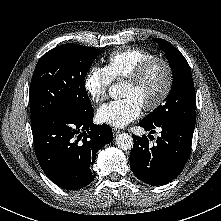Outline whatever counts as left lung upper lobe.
Masks as SVG:
<instances>
[{
    "label": "left lung upper lobe",
    "instance_id": "5c2ea615",
    "mask_svg": "<svg viewBox=\"0 0 221 221\" xmlns=\"http://www.w3.org/2000/svg\"><path fill=\"white\" fill-rule=\"evenodd\" d=\"M165 51L173 73V84L165 103L154 110L144 121L149 124H161L174 119L195 122V88L190 67L172 44L160 38L153 39Z\"/></svg>",
    "mask_w": 221,
    "mask_h": 221
}]
</instances>
